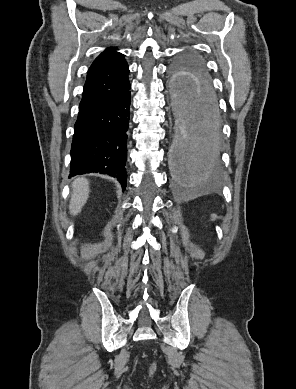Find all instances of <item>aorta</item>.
<instances>
[{
	"label": "aorta",
	"instance_id": "762f6f07",
	"mask_svg": "<svg viewBox=\"0 0 296 389\" xmlns=\"http://www.w3.org/2000/svg\"><path fill=\"white\" fill-rule=\"evenodd\" d=\"M168 96L174 111V134L168 146L169 165L179 189H193L209 178L219 161L216 130L217 92L203 72L170 67Z\"/></svg>",
	"mask_w": 296,
	"mask_h": 389
}]
</instances>
